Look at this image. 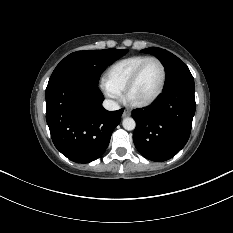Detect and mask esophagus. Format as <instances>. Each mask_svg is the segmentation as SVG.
Returning <instances> with one entry per match:
<instances>
[{
    "instance_id": "1",
    "label": "esophagus",
    "mask_w": 233,
    "mask_h": 233,
    "mask_svg": "<svg viewBox=\"0 0 233 233\" xmlns=\"http://www.w3.org/2000/svg\"><path fill=\"white\" fill-rule=\"evenodd\" d=\"M130 115H131V113L129 111H127V110H124V112L122 113L123 118L128 117Z\"/></svg>"
}]
</instances>
